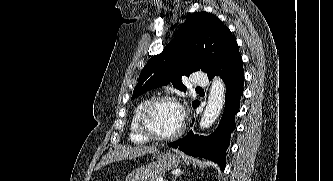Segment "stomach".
Instances as JSON below:
<instances>
[{
	"label": "stomach",
	"mask_w": 333,
	"mask_h": 181,
	"mask_svg": "<svg viewBox=\"0 0 333 181\" xmlns=\"http://www.w3.org/2000/svg\"><path fill=\"white\" fill-rule=\"evenodd\" d=\"M154 160L134 169L124 181H154L180 164V157L173 153H153Z\"/></svg>",
	"instance_id": "stomach-1"
}]
</instances>
